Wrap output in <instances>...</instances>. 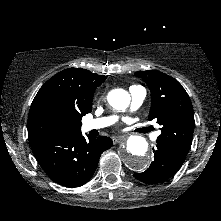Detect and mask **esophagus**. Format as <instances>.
I'll return each mask as SVG.
<instances>
[{
  "instance_id": "obj_1",
  "label": "esophagus",
  "mask_w": 221,
  "mask_h": 221,
  "mask_svg": "<svg viewBox=\"0 0 221 221\" xmlns=\"http://www.w3.org/2000/svg\"><path fill=\"white\" fill-rule=\"evenodd\" d=\"M112 140L114 144H119L126 140V136H115Z\"/></svg>"
}]
</instances>
